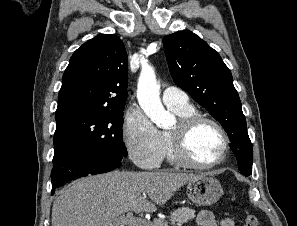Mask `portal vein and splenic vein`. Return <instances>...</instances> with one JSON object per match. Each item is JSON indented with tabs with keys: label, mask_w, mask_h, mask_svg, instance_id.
<instances>
[{
	"label": "portal vein and splenic vein",
	"mask_w": 297,
	"mask_h": 226,
	"mask_svg": "<svg viewBox=\"0 0 297 226\" xmlns=\"http://www.w3.org/2000/svg\"><path fill=\"white\" fill-rule=\"evenodd\" d=\"M116 224H125L128 226H150L151 223L146 219H142L139 217H134L131 212L127 213L125 216L124 214L120 215L115 219Z\"/></svg>",
	"instance_id": "obj_1"
}]
</instances>
